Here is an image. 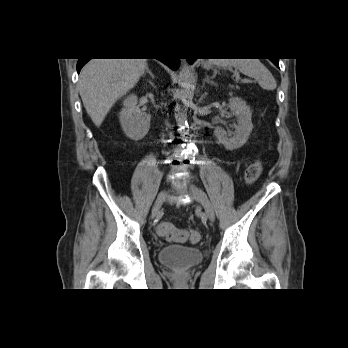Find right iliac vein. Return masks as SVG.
<instances>
[{
  "instance_id": "1",
  "label": "right iliac vein",
  "mask_w": 348,
  "mask_h": 348,
  "mask_svg": "<svg viewBox=\"0 0 348 348\" xmlns=\"http://www.w3.org/2000/svg\"><path fill=\"white\" fill-rule=\"evenodd\" d=\"M166 196H167L166 190H163L158 194L157 199H156L155 204H154L153 209H152L153 213H157L159 211L163 202L165 201Z\"/></svg>"
}]
</instances>
